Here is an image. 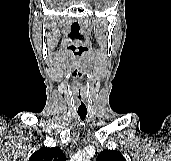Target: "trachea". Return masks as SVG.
I'll list each match as a JSON object with an SVG mask.
<instances>
[{
	"label": "trachea",
	"mask_w": 171,
	"mask_h": 161,
	"mask_svg": "<svg viewBox=\"0 0 171 161\" xmlns=\"http://www.w3.org/2000/svg\"><path fill=\"white\" fill-rule=\"evenodd\" d=\"M81 120H85L87 113L86 112H78Z\"/></svg>",
	"instance_id": "trachea-1"
}]
</instances>
